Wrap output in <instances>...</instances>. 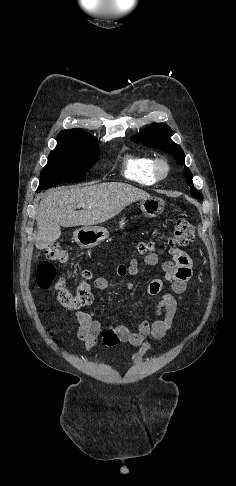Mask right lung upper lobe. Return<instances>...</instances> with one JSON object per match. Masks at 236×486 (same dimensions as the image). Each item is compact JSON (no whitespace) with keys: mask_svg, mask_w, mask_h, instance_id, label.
I'll return each instance as SVG.
<instances>
[{"mask_svg":"<svg viewBox=\"0 0 236 486\" xmlns=\"http://www.w3.org/2000/svg\"><path fill=\"white\" fill-rule=\"evenodd\" d=\"M57 138L62 140H73L87 144H97L96 138L94 136H91L80 129L63 130L59 132Z\"/></svg>","mask_w":236,"mask_h":486,"instance_id":"obj_1","label":"right lung upper lobe"}]
</instances>
